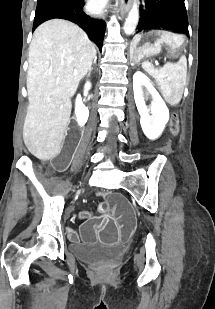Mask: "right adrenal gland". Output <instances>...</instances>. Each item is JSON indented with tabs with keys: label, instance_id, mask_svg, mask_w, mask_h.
Segmentation results:
<instances>
[{
	"label": "right adrenal gland",
	"instance_id": "obj_1",
	"mask_svg": "<svg viewBox=\"0 0 215 309\" xmlns=\"http://www.w3.org/2000/svg\"><path fill=\"white\" fill-rule=\"evenodd\" d=\"M96 60H97V56L95 54V56H94V64H96ZM91 70H92V66H90V68L88 70V74H90Z\"/></svg>",
	"mask_w": 215,
	"mask_h": 309
}]
</instances>
